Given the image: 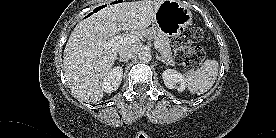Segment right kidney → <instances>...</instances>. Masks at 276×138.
<instances>
[{"instance_id": "ca27d5eb", "label": "right kidney", "mask_w": 276, "mask_h": 138, "mask_svg": "<svg viewBox=\"0 0 276 138\" xmlns=\"http://www.w3.org/2000/svg\"><path fill=\"white\" fill-rule=\"evenodd\" d=\"M123 76V69L120 66L114 67L109 73L105 76L103 80V89L107 93L116 91L121 84Z\"/></svg>"}]
</instances>
